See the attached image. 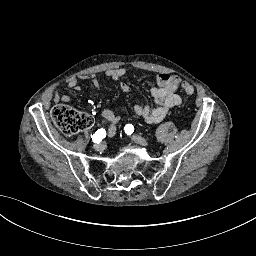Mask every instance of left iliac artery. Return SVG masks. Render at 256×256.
Wrapping results in <instances>:
<instances>
[{
	"label": "left iliac artery",
	"instance_id": "left-iliac-artery-1",
	"mask_svg": "<svg viewBox=\"0 0 256 256\" xmlns=\"http://www.w3.org/2000/svg\"><path fill=\"white\" fill-rule=\"evenodd\" d=\"M125 133H127V135H131L134 132V126L132 124H127L124 127Z\"/></svg>",
	"mask_w": 256,
	"mask_h": 256
}]
</instances>
